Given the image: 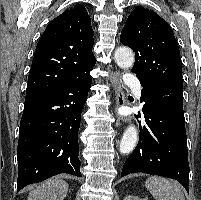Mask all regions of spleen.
I'll list each match as a JSON object with an SVG mask.
<instances>
[{"mask_svg":"<svg viewBox=\"0 0 201 200\" xmlns=\"http://www.w3.org/2000/svg\"><path fill=\"white\" fill-rule=\"evenodd\" d=\"M145 185L155 200H185L181 186L175 181L152 176Z\"/></svg>","mask_w":201,"mask_h":200,"instance_id":"obj_1","label":"spleen"}]
</instances>
